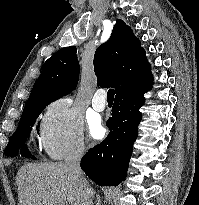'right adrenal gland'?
I'll return each mask as SVG.
<instances>
[{
    "label": "right adrenal gland",
    "mask_w": 199,
    "mask_h": 205,
    "mask_svg": "<svg viewBox=\"0 0 199 205\" xmlns=\"http://www.w3.org/2000/svg\"><path fill=\"white\" fill-rule=\"evenodd\" d=\"M96 205H100V197H99V195H97V204Z\"/></svg>",
    "instance_id": "right-adrenal-gland-1"
}]
</instances>
